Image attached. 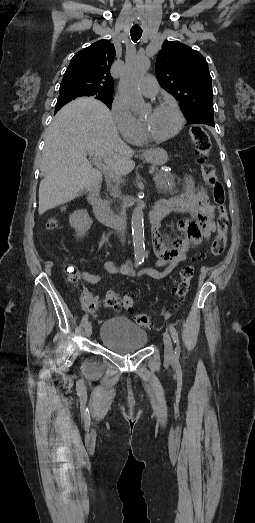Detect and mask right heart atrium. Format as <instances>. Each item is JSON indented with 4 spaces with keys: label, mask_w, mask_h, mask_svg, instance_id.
<instances>
[{
    "label": "right heart atrium",
    "mask_w": 255,
    "mask_h": 523,
    "mask_svg": "<svg viewBox=\"0 0 255 523\" xmlns=\"http://www.w3.org/2000/svg\"><path fill=\"white\" fill-rule=\"evenodd\" d=\"M110 115L124 140L133 138L139 131V121L119 96H116L111 103Z\"/></svg>",
    "instance_id": "1"
}]
</instances>
